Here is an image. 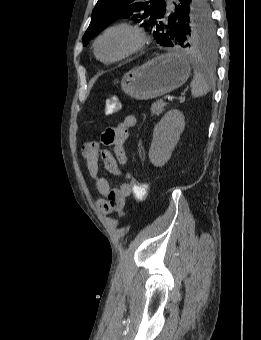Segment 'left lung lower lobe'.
I'll list each match as a JSON object with an SVG mask.
<instances>
[{"label": "left lung lower lobe", "instance_id": "1", "mask_svg": "<svg viewBox=\"0 0 261 340\" xmlns=\"http://www.w3.org/2000/svg\"><path fill=\"white\" fill-rule=\"evenodd\" d=\"M207 2V0H206ZM193 0H174L173 1V10L174 12L169 16H166V21L172 25H176L179 23V20L182 16H187L190 13L192 7ZM208 4V3H207ZM166 13V9L163 12V16ZM168 46L165 47H175V40H171L167 43Z\"/></svg>", "mask_w": 261, "mask_h": 340}]
</instances>
